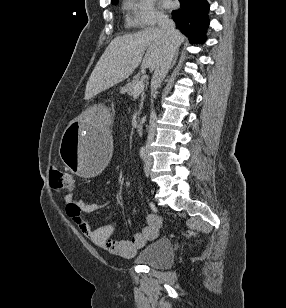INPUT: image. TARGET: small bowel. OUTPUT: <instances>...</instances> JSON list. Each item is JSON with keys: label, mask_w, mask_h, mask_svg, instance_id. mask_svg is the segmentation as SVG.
<instances>
[{"label": "small bowel", "mask_w": 286, "mask_h": 308, "mask_svg": "<svg viewBox=\"0 0 286 308\" xmlns=\"http://www.w3.org/2000/svg\"><path fill=\"white\" fill-rule=\"evenodd\" d=\"M63 201L67 216L77 228L96 246L117 257L130 258L134 256L137 250L142 248L147 241L157 237L161 226L160 217L155 213H150L146 216V225L141 231L132 234L128 239L115 240L112 238L116 229L114 221L93 228L84 216L86 213H94L110 205V201L86 203L77 200L71 193L64 195Z\"/></svg>", "instance_id": "small-bowel-1"}]
</instances>
